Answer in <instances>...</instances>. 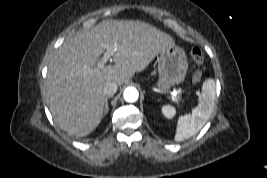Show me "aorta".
Here are the masks:
<instances>
[{
  "label": "aorta",
  "instance_id": "762f6f07",
  "mask_svg": "<svg viewBox=\"0 0 267 178\" xmlns=\"http://www.w3.org/2000/svg\"><path fill=\"white\" fill-rule=\"evenodd\" d=\"M123 97L127 102H135L139 97L138 90L134 87H128L124 90Z\"/></svg>",
  "mask_w": 267,
  "mask_h": 178
}]
</instances>
